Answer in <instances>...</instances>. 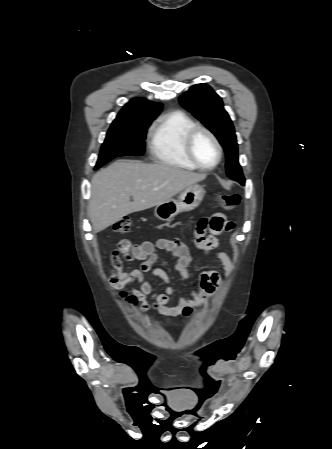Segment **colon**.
<instances>
[{
	"mask_svg": "<svg viewBox=\"0 0 332 449\" xmlns=\"http://www.w3.org/2000/svg\"><path fill=\"white\" fill-rule=\"evenodd\" d=\"M218 205L224 210H231L235 208L240 201L239 195L235 193L221 194L216 198ZM132 227V222L129 219H121L115 224V231L118 233H127ZM132 253L130 250L129 241H121L117 248L111 253V260L114 266L119 267L122 265V259H131ZM129 300L133 301L132 297Z\"/></svg>",
	"mask_w": 332,
	"mask_h": 449,
	"instance_id": "colon-1",
	"label": "colon"
}]
</instances>
